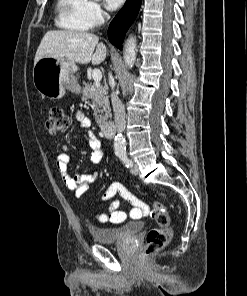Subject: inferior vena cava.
Here are the masks:
<instances>
[{
    "instance_id": "1",
    "label": "inferior vena cava",
    "mask_w": 247,
    "mask_h": 296,
    "mask_svg": "<svg viewBox=\"0 0 247 296\" xmlns=\"http://www.w3.org/2000/svg\"><path fill=\"white\" fill-rule=\"evenodd\" d=\"M110 86L112 89L111 102H112V107H113V112H114L115 125L117 128V132L122 133L124 131L125 125H126L125 109H124V106H123L121 100L119 99L118 95L114 91L113 82L110 83Z\"/></svg>"
}]
</instances>
